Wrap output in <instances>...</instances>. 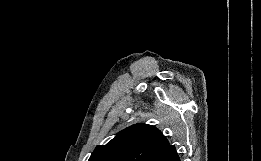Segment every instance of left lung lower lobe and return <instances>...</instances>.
Segmentation results:
<instances>
[{
	"label": "left lung lower lobe",
	"mask_w": 261,
	"mask_h": 161,
	"mask_svg": "<svg viewBox=\"0 0 261 161\" xmlns=\"http://www.w3.org/2000/svg\"><path fill=\"white\" fill-rule=\"evenodd\" d=\"M152 161H180L174 145L167 146Z\"/></svg>",
	"instance_id": "0a47b994"
}]
</instances>
